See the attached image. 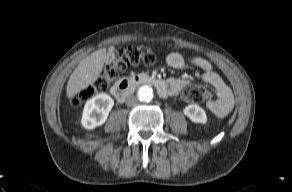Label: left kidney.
Instances as JSON below:
<instances>
[{
	"label": "left kidney",
	"mask_w": 292,
	"mask_h": 192,
	"mask_svg": "<svg viewBox=\"0 0 292 192\" xmlns=\"http://www.w3.org/2000/svg\"><path fill=\"white\" fill-rule=\"evenodd\" d=\"M183 112L194 123L205 124L207 122L205 110L197 104L186 106Z\"/></svg>",
	"instance_id": "obj_1"
}]
</instances>
